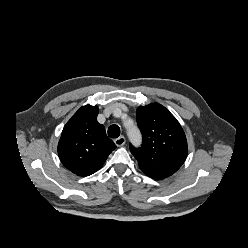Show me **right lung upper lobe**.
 Segmentation results:
<instances>
[{"instance_id": "right-lung-upper-lobe-1", "label": "right lung upper lobe", "mask_w": 248, "mask_h": 248, "mask_svg": "<svg viewBox=\"0 0 248 248\" xmlns=\"http://www.w3.org/2000/svg\"><path fill=\"white\" fill-rule=\"evenodd\" d=\"M97 115V106L81 107L63 128L58 143L60 161L78 176L95 173L116 148Z\"/></svg>"}]
</instances>
